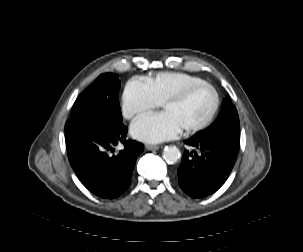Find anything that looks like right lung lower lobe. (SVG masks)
<instances>
[{
  "label": "right lung lower lobe",
  "instance_id": "98d812e1",
  "mask_svg": "<svg viewBox=\"0 0 303 252\" xmlns=\"http://www.w3.org/2000/svg\"><path fill=\"white\" fill-rule=\"evenodd\" d=\"M125 126H111L87 120H75L66 126V144L70 163L80 181L97 196L115 198L130 185L136 158L143 145L127 141ZM122 142L124 150L109 156Z\"/></svg>",
  "mask_w": 303,
  "mask_h": 252
}]
</instances>
